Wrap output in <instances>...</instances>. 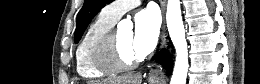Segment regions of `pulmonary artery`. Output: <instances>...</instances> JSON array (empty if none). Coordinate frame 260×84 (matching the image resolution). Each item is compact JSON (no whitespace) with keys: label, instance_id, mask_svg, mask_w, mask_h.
<instances>
[{"label":"pulmonary artery","instance_id":"pulmonary-artery-1","mask_svg":"<svg viewBox=\"0 0 260 84\" xmlns=\"http://www.w3.org/2000/svg\"><path fill=\"white\" fill-rule=\"evenodd\" d=\"M139 3L140 1L138 0L113 1L103 11L108 18L116 22L125 12L134 8Z\"/></svg>","mask_w":260,"mask_h":84}]
</instances>
